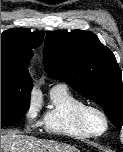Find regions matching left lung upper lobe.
Segmentation results:
<instances>
[{
    "mask_svg": "<svg viewBox=\"0 0 123 152\" xmlns=\"http://www.w3.org/2000/svg\"><path fill=\"white\" fill-rule=\"evenodd\" d=\"M43 63L48 76L64 80L79 94L95 101L121 130L123 88L113 53L90 31L62 30L47 34Z\"/></svg>",
    "mask_w": 123,
    "mask_h": 152,
    "instance_id": "5c2ea615",
    "label": "left lung upper lobe"
}]
</instances>
